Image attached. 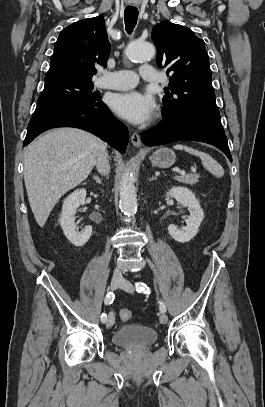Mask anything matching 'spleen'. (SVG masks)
<instances>
[{"instance_id":"spleen-1","label":"spleen","mask_w":265,"mask_h":407,"mask_svg":"<svg viewBox=\"0 0 265 407\" xmlns=\"http://www.w3.org/2000/svg\"><path fill=\"white\" fill-rule=\"evenodd\" d=\"M174 149L184 150L192 155L198 156L201 159L204 168L211 172L215 177L220 178L224 175V169L222 166L209 154L184 145H175Z\"/></svg>"}]
</instances>
